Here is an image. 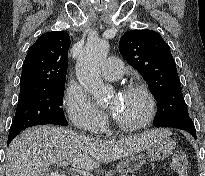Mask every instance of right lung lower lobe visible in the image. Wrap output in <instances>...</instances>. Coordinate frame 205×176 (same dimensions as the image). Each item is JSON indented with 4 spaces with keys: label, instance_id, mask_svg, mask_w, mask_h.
Masks as SVG:
<instances>
[{
    "label": "right lung lower lobe",
    "instance_id": "1",
    "mask_svg": "<svg viewBox=\"0 0 205 176\" xmlns=\"http://www.w3.org/2000/svg\"><path fill=\"white\" fill-rule=\"evenodd\" d=\"M13 140V138H8V143L7 145Z\"/></svg>",
    "mask_w": 205,
    "mask_h": 176
}]
</instances>
